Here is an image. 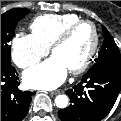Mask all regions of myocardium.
Masks as SVG:
<instances>
[{
  "instance_id": "myocardium-1",
  "label": "myocardium",
  "mask_w": 121,
  "mask_h": 121,
  "mask_svg": "<svg viewBox=\"0 0 121 121\" xmlns=\"http://www.w3.org/2000/svg\"><path fill=\"white\" fill-rule=\"evenodd\" d=\"M83 25H88L91 28L92 34H93V41H92V45L90 47V50L86 58L80 65H78L77 67L69 71L71 74H80L84 72L89 67V65L91 64V62L93 61L97 53L100 37H99V32L95 23L90 20H85V19H81V20L74 22L68 27H66L51 45V52L53 53L57 47L63 45L71 37V35L79 27Z\"/></svg>"
}]
</instances>
